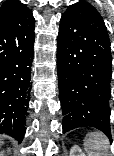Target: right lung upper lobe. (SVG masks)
Returning <instances> with one entry per match:
<instances>
[{"label":"right lung upper lobe","mask_w":114,"mask_h":156,"mask_svg":"<svg viewBox=\"0 0 114 156\" xmlns=\"http://www.w3.org/2000/svg\"><path fill=\"white\" fill-rule=\"evenodd\" d=\"M27 9L25 4L19 1L7 0L0 8V21L7 19L8 17L15 15L23 10Z\"/></svg>","instance_id":"1"}]
</instances>
